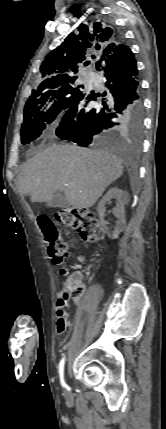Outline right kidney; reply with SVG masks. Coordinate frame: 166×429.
<instances>
[{
	"label": "right kidney",
	"mask_w": 166,
	"mask_h": 429,
	"mask_svg": "<svg viewBox=\"0 0 166 429\" xmlns=\"http://www.w3.org/2000/svg\"><path fill=\"white\" fill-rule=\"evenodd\" d=\"M111 199L116 200V207L113 208L112 212L114 216L118 219L115 229L112 233H109V236L112 239H117L119 234L124 230L126 225V219H125V210L124 205L128 203L129 201V194L117 187L110 188L106 194L103 196V198L100 200L97 206V211L101 220L102 225L107 229L104 222V216H105V205L110 202Z\"/></svg>",
	"instance_id": "1"
}]
</instances>
